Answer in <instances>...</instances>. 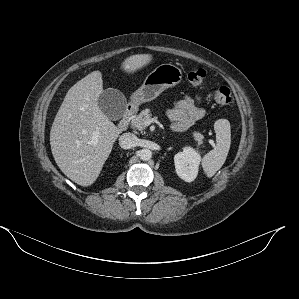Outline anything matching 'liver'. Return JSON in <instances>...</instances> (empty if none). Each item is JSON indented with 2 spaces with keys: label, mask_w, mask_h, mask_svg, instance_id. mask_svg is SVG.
Masks as SVG:
<instances>
[{
  "label": "liver",
  "mask_w": 299,
  "mask_h": 299,
  "mask_svg": "<svg viewBox=\"0 0 299 299\" xmlns=\"http://www.w3.org/2000/svg\"><path fill=\"white\" fill-rule=\"evenodd\" d=\"M152 59L151 54H136L127 57L121 66L132 74ZM102 92L100 71L82 78L68 90L50 131L56 164L70 180L81 186L96 181L121 133L98 106Z\"/></svg>",
  "instance_id": "obj_1"
}]
</instances>
